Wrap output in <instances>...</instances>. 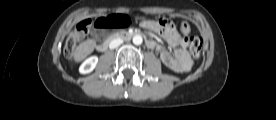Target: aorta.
I'll use <instances>...</instances> for the list:
<instances>
[{"label": "aorta", "mask_w": 276, "mask_h": 120, "mask_svg": "<svg viewBox=\"0 0 276 120\" xmlns=\"http://www.w3.org/2000/svg\"><path fill=\"white\" fill-rule=\"evenodd\" d=\"M142 42H143V38H142L141 35H135V36L133 37V43H134L135 45H141Z\"/></svg>", "instance_id": "1"}]
</instances>
